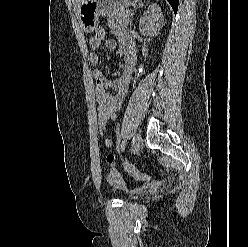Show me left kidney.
<instances>
[{"mask_svg":"<svg viewBox=\"0 0 248 247\" xmlns=\"http://www.w3.org/2000/svg\"><path fill=\"white\" fill-rule=\"evenodd\" d=\"M164 17L161 8L153 4L148 7L139 20V31L144 36L155 37L163 26Z\"/></svg>","mask_w":248,"mask_h":247,"instance_id":"left-kidney-1","label":"left kidney"}]
</instances>
